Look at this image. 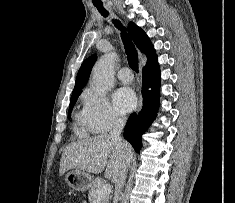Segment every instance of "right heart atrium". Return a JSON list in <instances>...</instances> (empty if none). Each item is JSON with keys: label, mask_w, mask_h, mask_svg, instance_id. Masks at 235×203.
Instances as JSON below:
<instances>
[{"label": "right heart atrium", "mask_w": 235, "mask_h": 203, "mask_svg": "<svg viewBox=\"0 0 235 203\" xmlns=\"http://www.w3.org/2000/svg\"><path fill=\"white\" fill-rule=\"evenodd\" d=\"M83 102L84 113L94 132H108L124 122V116L112 106L109 99L93 88L85 90Z\"/></svg>", "instance_id": "obj_1"}]
</instances>
